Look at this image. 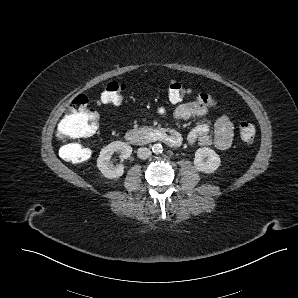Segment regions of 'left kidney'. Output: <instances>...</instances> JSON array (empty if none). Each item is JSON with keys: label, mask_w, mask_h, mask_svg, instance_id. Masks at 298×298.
Wrapping results in <instances>:
<instances>
[{"label": "left kidney", "mask_w": 298, "mask_h": 298, "mask_svg": "<svg viewBox=\"0 0 298 298\" xmlns=\"http://www.w3.org/2000/svg\"><path fill=\"white\" fill-rule=\"evenodd\" d=\"M220 164L219 155L211 148L203 147L196 150L194 165L198 171L213 173Z\"/></svg>", "instance_id": "1"}]
</instances>
